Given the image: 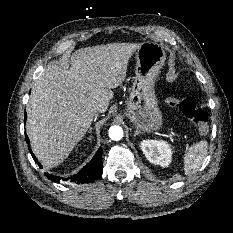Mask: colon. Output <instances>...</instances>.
I'll return each mask as SVG.
<instances>
[{"mask_svg":"<svg viewBox=\"0 0 233 233\" xmlns=\"http://www.w3.org/2000/svg\"><path fill=\"white\" fill-rule=\"evenodd\" d=\"M168 106L176 108L182 112L188 119H190L196 131L201 136H206L209 133V118L206 111L197 106L194 97L187 95L182 98L169 95L166 99Z\"/></svg>","mask_w":233,"mask_h":233,"instance_id":"colon-1","label":"colon"}]
</instances>
